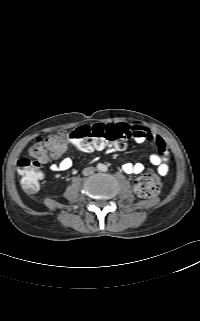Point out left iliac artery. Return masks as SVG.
Here are the masks:
<instances>
[{"label": "left iliac artery", "mask_w": 200, "mask_h": 321, "mask_svg": "<svg viewBox=\"0 0 200 321\" xmlns=\"http://www.w3.org/2000/svg\"><path fill=\"white\" fill-rule=\"evenodd\" d=\"M103 170L106 171V170H107V167L105 166V167L103 168Z\"/></svg>", "instance_id": "left-iliac-artery-1"}]
</instances>
